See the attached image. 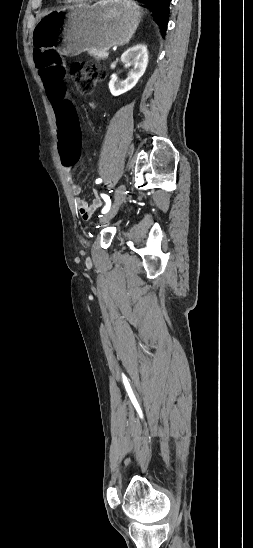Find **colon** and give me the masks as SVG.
I'll return each mask as SVG.
<instances>
[{
    "mask_svg": "<svg viewBox=\"0 0 253 548\" xmlns=\"http://www.w3.org/2000/svg\"><path fill=\"white\" fill-rule=\"evenodd\" d=\"M35 58L37 74H41L44 83L43 94L49 105H53V113L61 141L59 148L61 160L65 166L75 165L80 158L78 137L82 135L77 115L79 105L73 98L71 82L68 80L67 61L54 60L57 53L48 49H37ZM71 74L77 92L81 95L90 94L95 85L104 77L102 69L89 62H76L71 66Z\"/></svg>",
    "mask_w": 253,
    "mask_h": 548,
    "instance_id": "5ec220e1",
    "label": "colon"
}]
</instances>
